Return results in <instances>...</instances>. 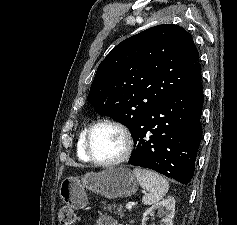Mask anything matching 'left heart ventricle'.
<instances>
[{
  "label": "left heart ventricle",
  "mask_w": 237,
  "mask_h": 225,
  "mask_svg": "<svg viewBox=\"0 0 237 225\" xmlns=\"http://www.w3.org/2000/svg\"><path fill=\"white\" fill-rule=\"evenodd\" d=\"M90 145L96 158L111 160L121 155L124 149V139L117 129L100 126L93 132Z\"/></svg>",
  "instance_id": "left-heart-ventricle-1"
}]
</instances>
